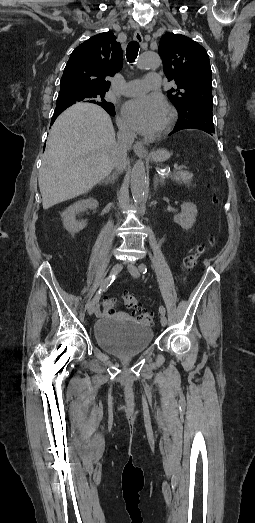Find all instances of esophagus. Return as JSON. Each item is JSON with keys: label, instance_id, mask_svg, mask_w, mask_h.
<instances>
[{"label": "esophagus", "instance_id": "1", "mask_svg": "<svg viewBox=\"0 0 255 523\" xmlns=\"http://www.w3.org/2000/svg\"><path fill=\"white\" fill-rule=\"evenodd\" d=\"M134 39L138 42V43H142L143 42V37H142V34L140 32V30H136L135 33H134ZM133 150L134 152L139 155V156H142V157H145L148 155V149L147 147L141 143V142H137L135 143V145L133 146Z\"/></svg>", "mask_w": 255, "mask_h": 523}]
</instances>
